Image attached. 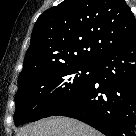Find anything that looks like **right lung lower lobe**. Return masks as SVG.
<instances>
[{
    "instance_id": "98d812e1",
    "label": "right lung lower lobe",
    "mask_w": 136,
    "mask_h": 136,
    "mask_svg": "<svg viewBox=\"0 0 136 136\" xmlns=\"http://www.w3.org/2000/svg\"><path fill=\"white\" fill-rule=\"evenodd\" d=\"M52 115L78 119L106 136H135L136 38L98 59L90 83Z\"/></svg>"
}]
</instances>
